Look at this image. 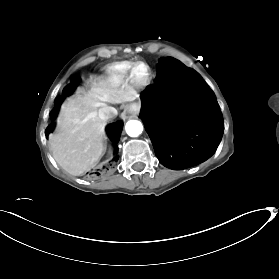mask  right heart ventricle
Listing matches in <instances>:
<instances>
[{
    "instance_id": "e07e8e85",
    "label": "right heart ventricle",
    "mask_w": 279,
    "mask_h": 279,
    "mask_svg": "<svg viewBox=\"0 0 279 279\" xmlns=\"http://www.w3.org/2000/svg\"><path fill=\"white\" fill-rule=\"evenodd\" d=\"M131 62H117L108 67V72L117 77L126 76L130 70Z\"/></svg>"
}]
</instances>
